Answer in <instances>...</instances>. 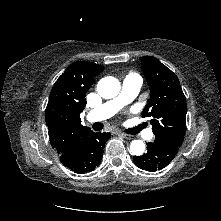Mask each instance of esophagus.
Segmentation results:
<instances>
[{"label":"esophagus","mask_w":221,"mask_h":221,"mask_svg":"<svg viewBox=\"0 0 221 221\" xmlns=\"http://www.w3.org/2000/svg\"><path fill=\"white\" fill-rule=\"evenodd\" d=\"M119 135L120 136H122L123 138H125V139H128V140H130V139H132L133 138V136L132 135H128V134H125V133H119Z\"/></svg>","instance_id":"34e87169"}]
</instances>
